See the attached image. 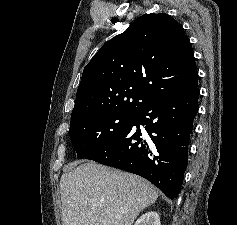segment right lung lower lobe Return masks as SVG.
I'll return each mask as SVG.
<instances>
[{"instance_id": "obj_1", "label": "right lung lower lobe", "mask_w": 237, "mask_h": 225, "mask_svg": "<svg viewBox=\"0 0 237 225\" xmlns=\"http://www.w3.org/2000/svg\"><path fill=\"white\" fill-rule=\"evenodd\" d=\"M199 94L197 85L162 92L136 112L121 134L85 158L140 175L175 199L188 164Z\"/></svg>"}]
</instances>
